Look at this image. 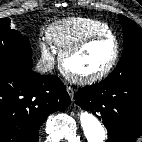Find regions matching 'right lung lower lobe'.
I'll list each match as a JSON object with an SVG mask.
<instances>
[{
	"label": "right lung lower lobe",
	"mask_w": 142,
	"mask_h": 142,
	"mask_svg": "<svg viewBox=\"0 0 142 142\" xmlns=\"http://www.w3.org/2000/svg\"><path fill=\"white\" fill-rule=\"evenodd\" d=\"M69 102L57 76L0 68V142H38L45 119L67 108Z\"/></svg>",
	"instance_id": "right-lung-lower-lobe-1"
}]
</instances>
